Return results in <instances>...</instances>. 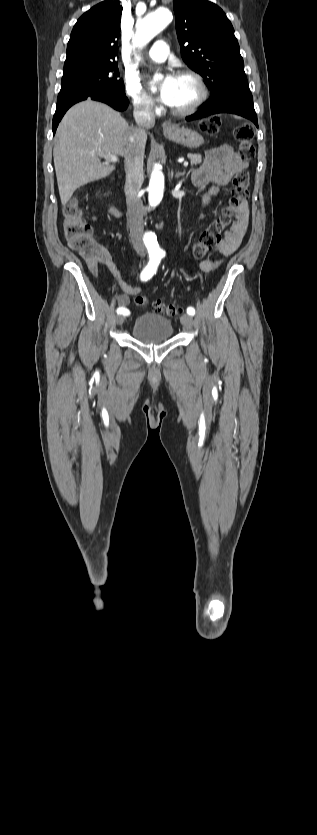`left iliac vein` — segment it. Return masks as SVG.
I'll use <instances>...</instances> for the list:
<instances>
[{"mask_svg":"<svg viewBox=\"0 0 317 835\" xmlns=\"http://www.w3.org/2000/svg\"><path fill=\"white\" fill-rule=\"evenodd\" d=\"M180 321L186 329H191L193 326V319L188 314H183L180 318Z\"/></svg>","mask_w":317,"mask_h":835,"instance_id":"obj_1","label":"left iliac vein"}]
</instances>
